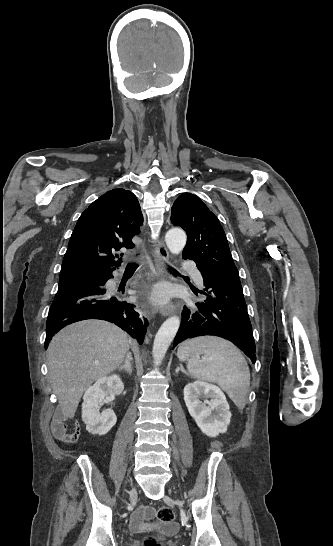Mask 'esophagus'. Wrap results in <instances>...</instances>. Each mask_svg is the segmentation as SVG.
Listing matches in <instances>:
<instances>
[{
  "label": "esophagus",
  "mask_w": 333,
  "mask_h": 546,
  "mask_svg": "<svg viewBox=\"0 0 333 546\" xmlns=\"http://www.w3.org/2000/svg\"><path fill=\"white\" fill-rule=\"evenodd\" d=\"M153 258L155 261L156 268L158 270L159 276L161 279H165L168 277L167 271H166V264L169 262V253L168 250L163 242L162 239H159L155 243V249L153 252ZM142 307L147 309V314L150 317L154 316V313L156 312L155 308L150 307L146 301L145 296L143 297L142 301ZM176 309V306L173 303H170L166 306H163L160 308V313L163 317H166L170 314H172Z\"/></svg>",
  "instance_id": "34e87169"
}]
</instances>
